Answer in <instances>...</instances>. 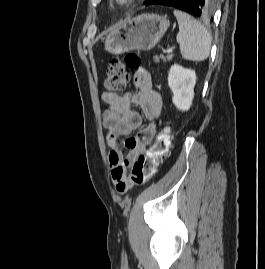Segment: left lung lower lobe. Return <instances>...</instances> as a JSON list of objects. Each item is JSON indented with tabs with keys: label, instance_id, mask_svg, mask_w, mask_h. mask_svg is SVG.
Masks as SVG:
<instances>
[{
	"label": "left lung lower lobe",
	"instance_id": "obj_1",
	"mask_svg": "<svg viewBox=\"0 0 265 269\" xmlns=\"http://www.w3.org/2000/svg\"><path fill=\"white\" fill-rule=\"evenodd\" d=\"M145 5L170 6L202 19L210 18L214 11V0H147Z\"/></svg>",
	"mask_w": 265,
	"mask_h": 269
}]
</instances>
